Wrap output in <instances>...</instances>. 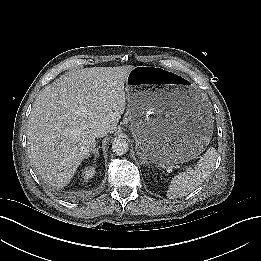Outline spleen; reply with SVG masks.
Segmentation results:
<instances>
[{
    "label": "spleen",
    "instance_id": "3e777b00",
    "mask_svg": "<svg viewBox=\"0 0 261 261\" xmlns=\"http://www.w3.org/2000/svg\"><path fill=\"white\" fill-rule=\"evenodd\" d=\"M216 159V149L209 148L194 169L179 173L172 178L167 197L171 199L183 197L194 191L209 176L215 166Z\"/></svg>",
    "mask_w": 261,
    "mask_h": 261
}]
</instances>
